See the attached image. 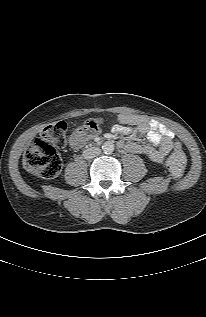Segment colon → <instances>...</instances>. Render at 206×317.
Segmentation results:
<instances>
[{
  "instance_id": "5ec220e1",
  "label": "colon",
  "mask_w": 206,
  "mask_h": 317,
  "mask_svg": "<svg viewBox=\"0 0 206 317\" xmlns=\"http://www.w3.org/2000/svg\"><path fill=\"white\" fill-rule=\"evenodd\" d=\"M101 120L91 118L81 125L74 133L76 139L85 141L97 134L101 129ZM67 143V124L63 121L45 127L25 152L23 164L25 169L38 177L52 179L62 170V160L58 153ZM167 168L176 177L184 174L186 156L176 150L166 162Z\"/></svg>"
}]
</instances>
